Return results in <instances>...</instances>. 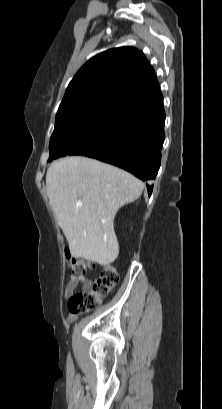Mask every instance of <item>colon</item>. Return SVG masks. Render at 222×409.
<instances>
[{
    "label": "colon",
    "mask_w": 222,
    "mask_h": 409,
    "mask_svg": "<svg viewBox=\"0 0 222 409\" xmlns=\"http://www.w3.org/2000/svg\"><path fill=\"white\" fill-rule=\"evenodd\" d=\"M65 254L72 270L76 273L86 272L93 267L92 263L73 257L69 250H66ZM118 281L117 269L113 265H105L89 290L78 292L69 298L68 311L71 314H82L95 309L101 300L112 291Z\"/></svg>",
    "instance_id": "colon-1"
}]
</instances>
